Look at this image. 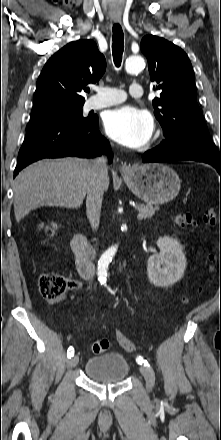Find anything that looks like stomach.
I'll list each match as a JSON object with an SVG mask.
<instances>
[{
    "mask_svg": "<svg viewBox=\"0 0 221 440\" xmlns=\"http://www.w3.org/2000/svg\"><path fill=\"white\" fill-rule=\"evenodd\" d=\"M129 189L148 204H164L179 193L181 180L169 166L149 163L130 167L123 173Z\"/></svg>",
    "mask_w": 221,
    "mask_h": 440,
    "instance_id": "0dacf381",
    "label": "stomach"
}]
</instances>
